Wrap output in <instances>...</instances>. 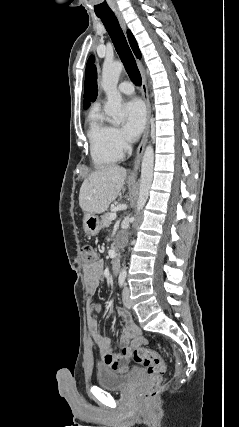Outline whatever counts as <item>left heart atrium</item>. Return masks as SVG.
Wrapping results in <instances>:
<instances>
[{
	"instance_id": "39dd6f15",
	"label": "left heart atrium",
	"mask_w": 239,
	"mask_h": 427,
	"mask_svg": "<svg viewBox=\"0 0 239 427\" xmlns=\"http://www.w3.org/2000/svg\"><path fill=\"white\" fill-rule=\"evenodd\" d=\"M125 125L124 130L131 139L137 138L144 129L146 122L145 108L138 99L127 102L124 106Z\"/></svg>"
}]
</instances>
